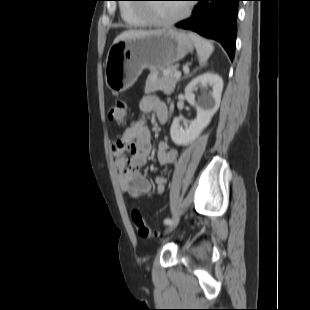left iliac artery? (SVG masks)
Instances as JSON below:
<instances>
[{"instance_id":"44dca946","label":"left iliac artery","mask_w":310,"mask_h":310,"mask_svg":"<svg viewBox=\"0 0 310 310\" xmlns=\"http://www.w3.org/2000/svg\"><path fill=\"white\" fill-rule=\"evenodd\" d=\"M164 223H165L166 225H169V224L172 223V219L166 218V219L164 220Z\"/></svg>"}]
</instances>
